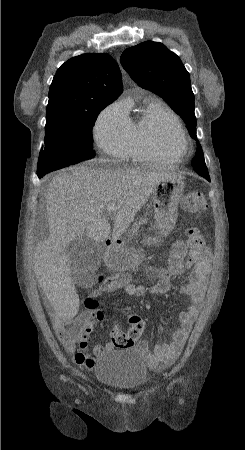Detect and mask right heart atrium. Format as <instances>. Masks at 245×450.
<instances>
[{"instance_id":"obj_1","label":"right heart atrium","mask_w":245,"mask_h":450,"mask_svg":"<svg viewBox=\"0 0 245 450\" xmlns=\"http://www.w3.org/2000/svg\"><path fill=\"white\" fill-rule=\"evenodd\" d=\"M130 121L126 107L114 102L98 116L94 127V140L99 149L108 157L122 160L129 153Z\"/></svg>"}]
</instances>
